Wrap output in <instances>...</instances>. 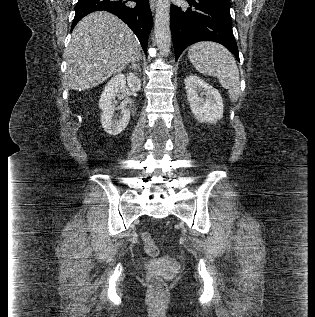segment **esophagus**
Masks as SVG:
<instances>
[{
  "label": "esophagus",
  "instance_id": "1",
  "mask_svg": "<svg viewBox=\"0 0 315 317\" xmlns=\"http://www.w3.org/2000/svg\"><path fill=\"white\" fill-rule=\"evenodd\" d=\"M149 2H150L151 10L154 11L155 10V6H156V0H149Z\"/></svg>",
  "mask_w": 315,
  "mask_h": 317
}]
</instances>
